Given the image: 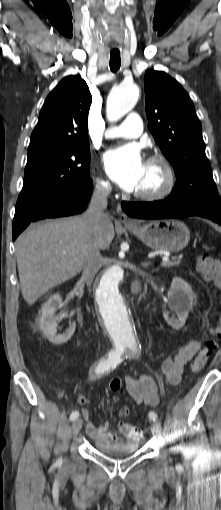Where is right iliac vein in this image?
<instances>
[{"label":"right iliac vein","mask_w":221,"mask_h":510,"mask_svg":"<svg viewBox=\"0 0 221 510\" xmlns=\"http://www.w3.org/2000/svg\"><path fill=\"white\" fill-rule=\"evenodd\" d=\"M82 419H76L74 420L73 424H72V433L73 435H77L82 427Z\"/></svg>","instance_id":"63e3f726"}]
</instances>
